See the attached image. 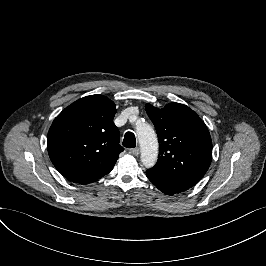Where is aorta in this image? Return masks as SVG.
<instances>
[{
  "label": "aorta",
  "mask_w": 266,
  "mask_h": 266,
  "mask_svg": "<svg viewBox=\"0 0 266 266\" xmlns=\"http://www.w3.org/2000/svg\"><path fill=\"white\" fill-rule=\"evenodd\" d=\"M134 130L141 145V165L146 169L153 168L158 160V141L155 131L146 121L137 122Z\"/></svg>",
  "instance_id": "aorta-1"
}]
</instances>
